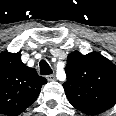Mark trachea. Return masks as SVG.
Returning a JSON list of instances; mask_svg holds the SVG:
<instances>
[{"mask_svg":"<svg viewBox=\"0 0 116 116\" xmlns=\"http://www.w3.org/2000/svg\"><path fill=\"white\" fill-rule=\"evenodd\" d=\"M40 74L42 75L52 74V70L50 69L48 63L44 60L40 61Z\"/></svg>","mask_w":116,"mask_h":116,"instance_id":"3493384b","label":"trachea"}]
</instances>
